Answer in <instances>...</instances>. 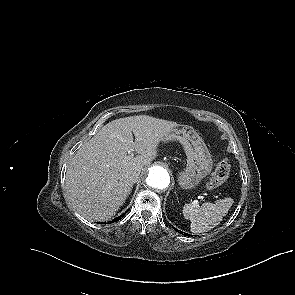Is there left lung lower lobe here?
Returning a JSON list of instances; mask_svg holds the SVG:
<instances>
[{"label":"left lung lower lobe","mask_w":295,"mask_h":295,"mask_svg":"<svg viewBox=\"0 0 295 295\" xmlns=\"http://www.w3.org/2000/svg\"><path fill=\"white\" fill-rule=\"evenodd\" d=\"M174 230L179 232V230H177L176 228H174ZM180 233H182V234H184V235H186V236H190L189 234L184 233V232H182V231H180Z\"/></svg>","instance_id":"0a47b994"}]
</instances>
